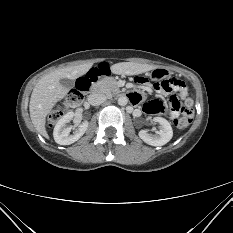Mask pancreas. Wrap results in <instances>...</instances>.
<instances>
[{"instance_id":"pancreas-1","label":"pancreas","mask_w":233,"mask_h":233,"mask_svg":"<svg viewBox=\"0 0 233 233\" xmlns=\"http://www.w3.org/2000/svg\"><path fill=\"white\" fill-rule=\"evenodd\" d=\"M99 84L102 91L107 94L114 93L118 90L117 81L112 78H104Z\"/></svg>"}]
</instances>
